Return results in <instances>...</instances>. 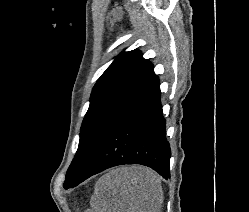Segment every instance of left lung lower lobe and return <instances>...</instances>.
<instances>
[{"mask_svg": "<svg viewBox=\"0 0 249 212\" xmlns=\"http://www.w3.org/2000/svg\"><path fill=\"white\" fill-rule=\"evenodd\" d=\"M159 85L156 76L112 126L78 179L64 186L65 189L123 164L145 165L165 179L170 178L171 151L166 140V121L162 114Z\"/></svg>", "mask_w": 249, "mask_h": 212, "instance_id": "obj_1", "label": "left lung lower lobe"}]
</instances>
